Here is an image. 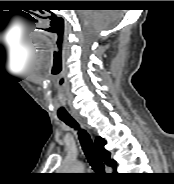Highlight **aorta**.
Here are the masks:
<instances>
[{"label": "aorta", "mask_w": 174, "mask_h": 184, "mask_svg": "<svg viewBox=\"0 0 174 184\" xmlns=\"http://www.w3.org/2000/svg\"><path fill=\"white\" fill-rule=\"evenodd\" d=\"M71 171H81L79 167H74Z\"/></svg>", "instance_id": "obj_1"}]
</instances>
